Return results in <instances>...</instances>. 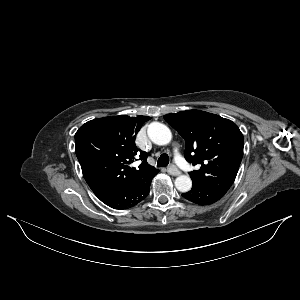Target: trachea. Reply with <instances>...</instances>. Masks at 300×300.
I'll return each mask as SVG.
<instances>
[{
  "label": "trachea",
  "mask_w": 300,
  "mask_h": 300,
  "mask_svg": "<svg viewBox=\"0 0 300 300\" xmlns=\"http://www.w3.org/2000/svg\"><path fill=\"white\" fill-rule=\"evenodd\" d=\"M169 164V156L167 154H161L158 161L157 166L158 167H166Z\"/></svg>",
  "instance_id": "trachea-1"
}]
</instances>
